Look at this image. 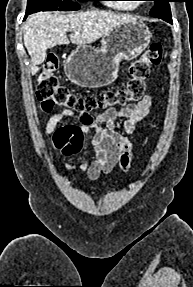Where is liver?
<instances>
[{
    "label": "liver",
    "mask_w": 193,
    "mask_h": 287,
    "mask_svg": "<svg viewBox=\"0 0 193 287\" xmlns=\"http://www.w3.org/2000/svg\"><path fill=\"white\" fill-rule=\"evenodd\" d=\"M135 18L108 11L90 10L79 13L39 12L28 17L23 26L24 45L31 57V74L46 58L47 49L57 45L94 43L121 23ZM70 31V40L66 32Z\"/></svg>",
    "instance_id": "obj_1"
}]
</instances>
